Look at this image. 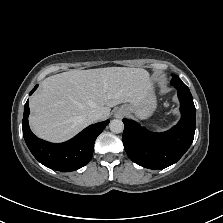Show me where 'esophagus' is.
<instances>
[{
	"label": "esophagus",
	"mask_w": 223,
	"mask_h": 223,
	"mask_svg": "<svg viewBox=\"0 0 223 223\" xmlns=\"http://www.w3.org/2000/svg\"><path fill=\"white\" fill-rule=\"evenodd\" d=\"M124 115H125V111L122 107H119L115 112V116L118 118H122Z\"/></svg>",
	"instance_id": "esophagus-1"
}]
</instances>
